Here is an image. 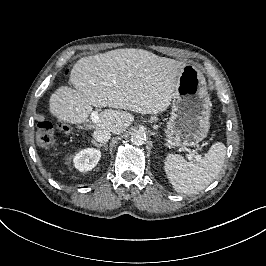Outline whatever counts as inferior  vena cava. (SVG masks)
<instances>
[{
  "instance_id": "1",
  "label": "inferior vena cava",
  "mask_w": 266,
  "mask_h": 266,
  "mask_svg": "<svg viewBox=\"0 0 266 266\" xmlns=\"http://www.w3.org/2000/svg\"><path fill=\"white\" fill-rule=\"evenodd\" d=\"M93 138L98 142L105 143L111 138V133L106 129H98L94 131Z\"/></svg>"
}]
</instances>
